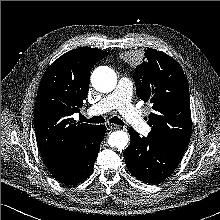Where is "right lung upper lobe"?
<instances>
[{"label": "right lung upper lobe", "instance_id": "1", "mask_svg": "<svg viewBox=\"0 0 220 220\" xmlns=\"http://www.w3.org/2000/svg\"><path fill=\"white\" fill-rule=\"evenodd\" d=\"M109 53L96 48L69 51L44 73L37 93L35 134L43 160L51 169L58 165L94 125L76 122L89 89L92 67Z\"/></svg>", "mask_w": 220, "mask_h": 220}]
</instances>
